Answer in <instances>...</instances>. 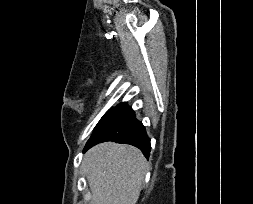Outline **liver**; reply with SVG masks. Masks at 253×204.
Here are the masks:
<instances>
[{"label":"liver","mask_w":253,"mask_h":204,"mask_svg":"<svg viewBox=\"0 0 253 204\" xmlns=\"http://www.w3.org/2000/svg\"><path fill=\"white\" fill-rule=\"evenodd\" d=\"M90 204H136L147 172L142 152L131 145L101 143L84 156Z\"/></svg>","instance_id":"6515ba94"}]
</instances>
